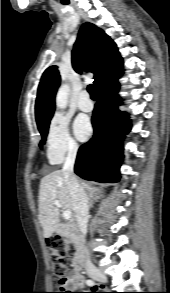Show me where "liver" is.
<instances>
[{"label": "liver", "mask_w": 170, "mask_h": 293, "mask_svg": "<svg viewBox=\"0 0 170 293\" xmlns=\"http://www.w3.org/2000/svg\"><path fill=\"white\" fill-rule=\"evenodd\" d=\"M83 189L87 191L97 190L87 182L79 181ZM54 200H58L64 211H71L75 216L72 206V198L65 182L62 170H56L41 179L39 189V221L43 228L45 238H49L59 227V207Z\"/></svg>", "instance_id": "liver-1"}]
</instances>
